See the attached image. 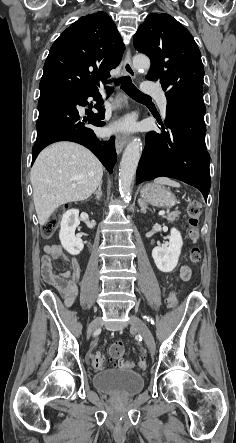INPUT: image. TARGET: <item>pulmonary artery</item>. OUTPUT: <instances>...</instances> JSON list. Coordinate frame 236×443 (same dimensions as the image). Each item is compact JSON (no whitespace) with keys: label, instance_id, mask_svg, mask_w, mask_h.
I'll return each mask as SVG.
<instances>
[{"label":"pulmonary artery","instance_id":"e3ab8cb5","mask_svg":"<svg viewBox=\"0 0 236 443\" xmlns=\"http://www.w3.org/2000/svg\"><path fill=\"white\" fill-rule=\"evenodd\" d=\"M143 90L144 91H148L144 86H143ZM157 98H158V104H159V108L161 110V112L164 114L167 108V100L166 97L164 95L163 92L159 91L157 92Z\"/></svg>","mask_w":236,"mask_h":443}]
</instances>
